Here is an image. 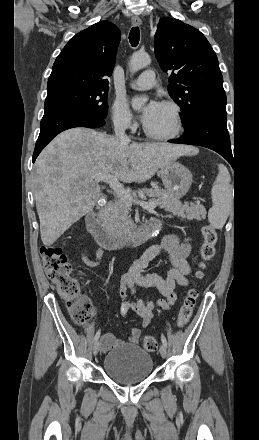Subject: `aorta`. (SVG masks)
I'll return each instance as SVG.
<instances>
[{"instance_id": "1", "label": "aorta", "mask_w": 259, "mask_h": 440, "mask_svg": "<svg viewBox=\"0 0 259 440\" xmlns=\"http://www.w3.org/2000/svg\"><path fill=\"white\" fill-rule=\"evenodd\" d=\"M151 63V58L146 53H135L132 55L130 62H129V69L132 74L139 71L142 68L147 67ZM148 101L147 97L140 96V97H134L132 99V107L135 110H140L145 103Z\"/></svg>"}]
</instances>
